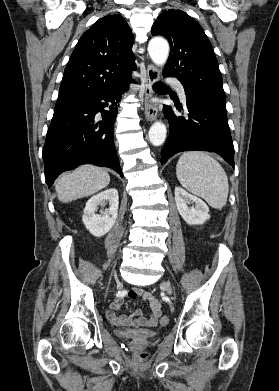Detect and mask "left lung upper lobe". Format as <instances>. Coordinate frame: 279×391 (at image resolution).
I'll use <instances>...</instances> for the list:
<instances>
[{"label":"left lung upper lobe","instance_id":"obj_1","mask_svg":"<svg viewBox=\"0 0 279 391\" xmlns=\"http://www.w3.org/2000/svg\"><path fill=\"white\" fill-rule=\"evenodd\" d=\"M151 32L170 43L163 75L177 78L186 92L226 108L218 62L201 26L183 11L171 9L161 13Z\"/></svg>","mask_w":279,"mask_h":391}]
</instances>
